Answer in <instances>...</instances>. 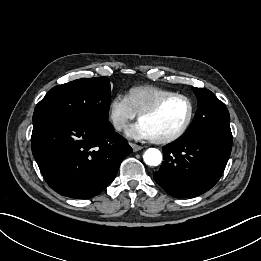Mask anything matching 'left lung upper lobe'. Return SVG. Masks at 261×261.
Listing matches in <instances>:
<instances>
[{"mask_svg": "<svg viewBox=\"0 0 261 261\" xmlns=\"http://www.w3.org/2000/svg\"><path fill=\"white\" fill-rule=\"evenodd\" d=\"M194 93L198 100L197 111L191 125L180 138L230 132V115L225 104L207 89L195 87Z\"/></svg>", "mask_w": 261, "mask_h": 261, "instance_id": "left-lung-upper-lobe-1", "label": "left lung upper lobe"}]
</instances>
